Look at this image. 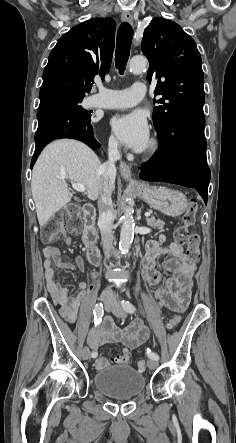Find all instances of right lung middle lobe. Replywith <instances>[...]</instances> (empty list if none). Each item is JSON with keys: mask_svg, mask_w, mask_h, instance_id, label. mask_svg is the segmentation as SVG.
Listing matches in <instances>:
<instances>
[{"mask_svg": "<svg viewBox=\"0 0 236 443\" xmlns=\"http://www.w3.org/2000/svg\"><path fill=\"white\" fill-rule=\"evenodd\" d=\"M51 97L59 98V99L63 100L64 102L68 103L83 117H90L91 116L89 111L84 110L79 105L84 96L72 95V94H57V95H53Z\"/></svg>", "mask_w": 236, "mask_h": 443, "instance_id": "1", "label": "right lung middle lobe"}]
</instances>
